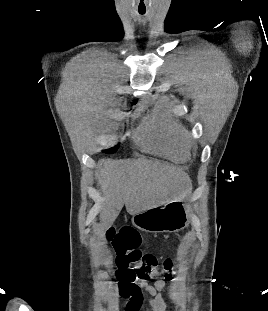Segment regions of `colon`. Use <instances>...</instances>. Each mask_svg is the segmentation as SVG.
<instances>
[{
	"label": "colon",
	"instance_id": "obj_1",
	"mask_svg": "<svg viewBox=\"0 0 268 311\" xmlns=\"http://www.w3.org/2000/svg\"><path fill=\"white\" fill-rule=\"evenodd\" d=\"M106 237L116 252V276L120 281V291L123 296H129L137 291V280H149L156 276L170 279L174 266L171 259H166L161 268L157 257L151 253H143L139 247L141 237L135 230L124 227L120 230L110 228Z\"/></svg>",
	"mask_w": 268,
	"mask_h": 311
}]
</instances>
